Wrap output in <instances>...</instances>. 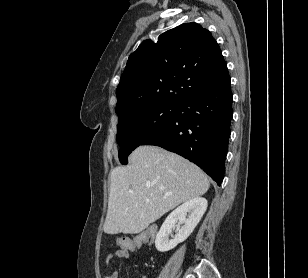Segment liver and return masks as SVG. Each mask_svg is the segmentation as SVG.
<instances>
[{"mask_svg": "<svg viewBox=\"0 0 308 278\" xmlns=\"http://www.w3.org/2000/svg\"><path fill=\"white\" fill-rule=\"evenodd\" d=\"M129 165L111 171L106 234H136L181 203L204 195L210 183L185 158L157 146H139Z\"/></svg>", "mask_w": 308, "mask_h": 278, "instance_id": "liver-1", "label": "liver"}]
</instances>
